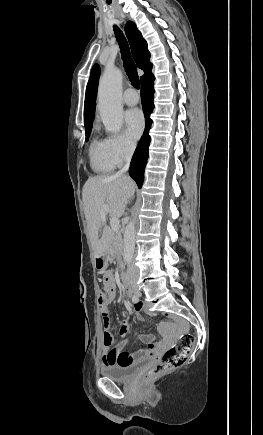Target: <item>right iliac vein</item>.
Returning <instances> with one entry per match:
<instances>
[{"instance_id": "right-iliac-vein-1", "label": "right iliac vein", "mask_w": 263, "mask_h": 435, "mask_svg": "<svg viewBox=\"0 0 263 435\" xmlns=\"http://www.w3.org/2000/svg\"><path fill=\"white\" fill-rule=\"evenodd\" d=\"M133 292H134L135 294H138V293H139V290H138L136 287H134V288H133Z\"/></svg>"}]
</instances>
